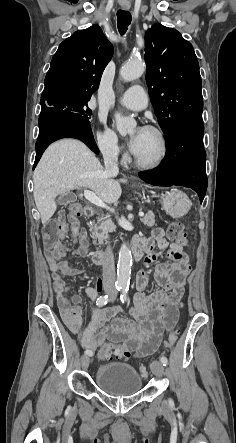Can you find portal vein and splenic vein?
<instances>
[{
	"instance_id": "portal-vein-and-splenic-vein-1",
	"label": "portal vein and splenic vein",
	"mask_w": 236,
	"mask_h": 443,
	"mask_svg": "<svg viewBox=\"0 0 236 443\" xmlns=\"http://www.w3.org/2000/svg\"><path fill=\"white\" fill-rule=\"evenodd\" d=\"M84 197L91 202L92 204L96 205L97 207L100 208H106V209H110L105 203L104 201H102L99 197H97L93 192L89 191V190H84ZM111 211H113V209H110ZM144 213L140 212L139 213V217H143Z\"/></svg>"
}]
</instances>
